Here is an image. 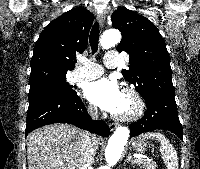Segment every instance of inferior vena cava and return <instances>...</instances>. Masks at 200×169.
I'll use <instances>...</instances> for the list:
<instances>
[{
	"label": "inferior vena cava",
	"mask_w": 200,
	"mask_h": 169,
	"mask_svg": "<svg viewBox=\"0 0 200 169\" xmlns=\"http://www.w3.org/2000/svg\"><path fill=\"white\" fill-rule=\"evenodd\" d=\"M88 112L93 119L98 118L97 107L90 106ZM95 150L93 139L89 134H85L81 142V154L78 169H91V166L94 163Z\"/></svg>",
	"instance_id": "inferior-vena-cava-1"
}]
</instances>
